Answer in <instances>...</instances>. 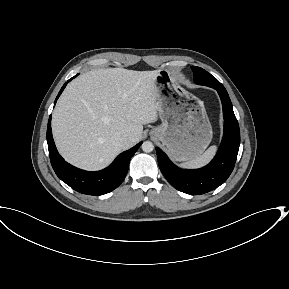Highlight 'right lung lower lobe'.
Wrapping results in <instances>:
<instances>
[{
  "label": "right lung lower lobe",
  "instance_id": "obj_1",
  "mask_svg": "<svg viewBox=\"0 0 289 289\" xmlns=\"http://www.w3.org/2000/svg\"><path fill=\"white\" fill-rule=\"evenodd\" d=\"M66 85L67 83H65L61 88L55 103ZM47 143L51 165L56 175L75 191L93 196L109 193L123 182L128 172L130 159L142 144V142H140L133 148L121 153L106 169L96 172H89L68 164L59 155L52 137L51 115L49 117L47 127Z\"/></svg>",
  "mask_w": 289,
  "mask_h": 289
}]
</instances>
